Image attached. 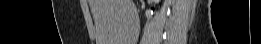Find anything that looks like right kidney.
Returning <instances> with one entry per match:
<instances>
[{
  "mask_svg": "<svg viewBox=\"0 0 261 44\" xmlns=\"http://www.w3.org/2000/svg\"><path fill=\"white\" fill-rule=\"evenodd\" d=\"M145 15H146V18L149 20V19L152 17V12L149 11V10H147V11L145 12Z\"/></svg>",
  "mask_w": 261,
  "mask_h": 44,
  "instance_id": "ca27d5eb",
  "label": "right kidney"
}]
</instances>
